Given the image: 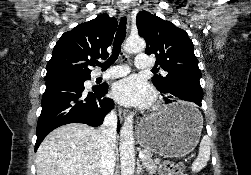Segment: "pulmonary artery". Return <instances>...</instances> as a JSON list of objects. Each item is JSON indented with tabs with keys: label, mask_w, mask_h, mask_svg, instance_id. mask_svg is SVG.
<instances>
[{
	"label": "pulmonary artery",
	"mask_w": 251,
	"mask_h": 175,
	"mask_svg": "<svg viewBox=\"0 0 251 175\" xmlns=\"http://www.w3.org/2000/svg\"><path fill=\"white\" fill-rule=\"evenodd\" d=\"M137 62H134V67H140V71H147V67H153V62H151V58H148L146 52H138L136 55ZM130 69L126 65H121L117 67H113L109 69L105 76L106 77H120L128 74Z\"/></svg>",
	"instance_id": "1"
}]
</instances>
